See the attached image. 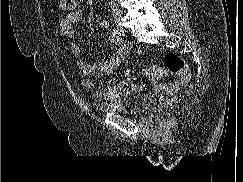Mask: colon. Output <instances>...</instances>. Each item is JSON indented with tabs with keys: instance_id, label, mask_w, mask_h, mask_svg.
Listing matches in <instances>:
<instances>
[{
	"instance_id": "colon-1",
	"label": "colon",
	"mask_w": 243,
	"mask_h": 182,
	"mask_svg": "<svg viewBox=\"0 0 243 182\" xmlns=\"http://www.w3.org/2000/svg\"><path fill=\"white\" fill-rule=\"evenodd\" d=\"M76 0H58V6L68 12L76 10ZM167 74L178 76V79L171 85L170 92L175 93L184 88L190 80V71L183 59L175 53H167L162 64H154L143 70V75L150 80H158Z\"/></svg>"
}]
</instances>
